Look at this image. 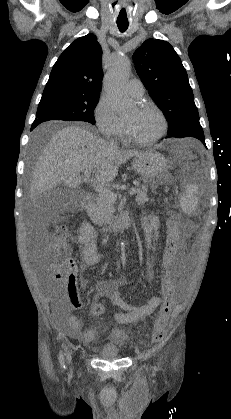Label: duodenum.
Segmentation results:
<instances>
[{"instance_id": "410a0bca", "label": "duodenum", "mask_w": 231, "mask_h": 419, "mask_svg": "<svg viewBox=\"0 0 231 419\" xmlns=\"http://www.w3.org/2000/svg\"><path fill=\"white\" fill-rule=\"evenodd\" d=\"M93 197L90 194H86L83 199V209L89 210L93 206ZM132 223V219L128 214L117 215L109 224L103 227V233L105 235H111L117 233L120 229L129 226Z\"/></svg>"}]
</instances>
